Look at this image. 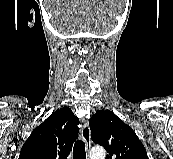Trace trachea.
<instances>
[{
  "instance_id": "3493384b",
  "label": "trachea",
  "mask_w": 173,
  "mask_h": 159,
  "mask_svg": "<svg viewBox=\"0 0 173 159\" xmlns=\"http://www.w3.org/2000/svg\"><path fill=\"white\" fill-rule=\"evenodd\" d=\"M73 159H86L85 143L77 140L73 147Z\"/></svg>"
}]
</instances>
